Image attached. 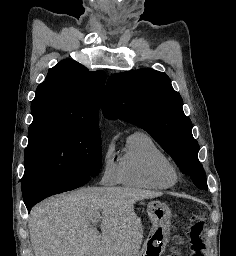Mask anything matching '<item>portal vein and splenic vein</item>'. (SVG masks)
Listing matches in <instances>:
<instances>
[{"label":"portal vein and splenic vein","mask_w":236,"mask_h":256,"mask_svg":"<svg viewBox=\"0 0 236 256\" xmlns=\"http://www.w3.org/2000/svg\"><path fill=\"white\" fill-rule=\"evenodd\" d=\"M102 220V216H93V218H91L90 220V224H93V226H96V224H98V222H101Z\"/></svg>","instance_id":"obj_1"}]
</instances>
